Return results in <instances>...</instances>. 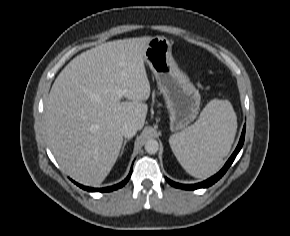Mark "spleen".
I'll use <instances>...</instances> for the list:
<instances>
[{
  "label": "spleen",
  "mask_w": 290,
  "mask_h": 236,
  "mask_svg": "<svg viewBox=\"0 0 290 236\" xmlns=\"http://www.w3.org/2000/svg\"><path fill=\"white\" fill-rule=\"evenodd\" d=\"M237 117L228 100H211L199 120L186 130L170 136L171 149L181 166L192 176L215 174L231 149Z\"/></svg>",
  "instance_id": "1"
}]
</instances>
